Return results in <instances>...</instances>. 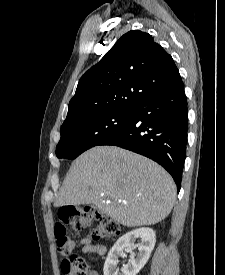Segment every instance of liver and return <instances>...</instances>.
Listing matches in <instances>:
<instances>
[{"mask_svg":"<svg viewBox=\"0 0 225 275\" xmlns=\"http://www.w3.org/2000/svg\"><path fill=\"white\" fill-rule=\"evenodd\" d=\"M175 197L172 177L156 162L119 147L96 146L72 163L54 206L93 204L118 223L138 227L165 219Z\"/></svg>","mask_w":225,"mask_h":275,"instance_id":"liver-1","label":"liver"}]
</instances>
